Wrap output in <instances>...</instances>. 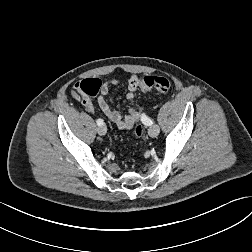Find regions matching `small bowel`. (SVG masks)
Returning a JSON list of instances; mask_svg holds the SVG:
<instances>
[{"label": "small bowel", "mask_w": 252, "mask_h": 252, "mask_svg": "<svg viewBox=\"0 0 252 252\" xmlns=\"http://www.w3.org/2000/svg\"><path fill=\"white\" fill-rule=\"evenodd\" d=\"M117 80L112 79L105 82L101 88V94L98 97V105L108 121L119 130L132 129L134 124L139 121L142 110L139 107H130L125 116L112 108V101L108 97L109 89L117 85ZM138 77L133 75L128 78V94L127 99L133 102L136 98V92L139 90ZM72 97L79 101L88 112L94 111V105L87 95L80 89V82H77L71 90Z\"/></svg>", "instance_id": "obj_1"}]
</instances>
